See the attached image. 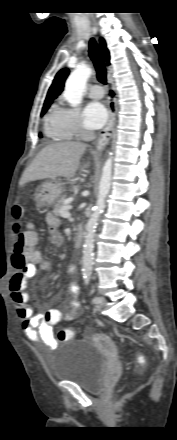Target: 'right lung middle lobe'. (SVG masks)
<instances>
[{
    "label": "right lung middle lobe",
    "instance_id": "dd1d6c3e",
    "mask_svg": "<svg viewBox=\"0 0 177 440\" xmlns=\"http://www.w3.org/2000/svg\"><path fill=\"white\" fill-rule=\"evenodd\" d=\"M51 102H47L44 103V106L42 108V112H41V116H43L45 114V112L48 110V108L50 107ZM39 137H41V134L39 135Z\"/></svg>",
    "mask_w": 177,
    "mask_h": 440
}]
</instances>
